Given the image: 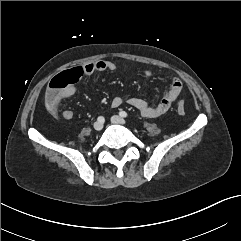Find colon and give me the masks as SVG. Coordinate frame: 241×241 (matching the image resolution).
<instances>
[{
    "instance_id": "colon-1",
    "label": "colon",
    "mask_w": 241,
    "mask_h": 241,
    "mask_svg": "<svg viewBox=\"0 0 241 241\" xmlns=\"http://www.w3.org/2000/svg\"><path fill=\"white\" fill-rule=\"evenodd\" d=\"M84 76H85V69L80 64H78V66L74 69H68V71L55 76L51 80L47 89V93H46L47 101L53 100L64 89L70 87L76 81L82 80ZM177 111L179 114L185 113L186 106L184 102H179L177 106Z\"/></svg>"
}]
</instances>
